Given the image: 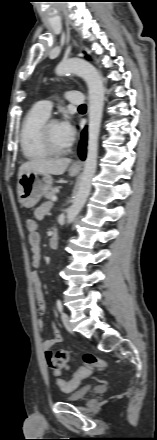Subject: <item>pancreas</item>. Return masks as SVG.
Instances as JSON below:
<instances>
[{"instance_id":"1","label":"pancreas","mask_w":157,"mask_h":440,"mask_svg":"<svg viewBox=\"0 0 157 440\" xmlns=\"http://www.w3.org/2000/svg\"><path fill=\"white\" fill-rule=\"evenodd\" d=\"M59 191V187L52 188L48 193L45 194V198L51 200L53 196Z\"/></svg>"}]
</instances>
